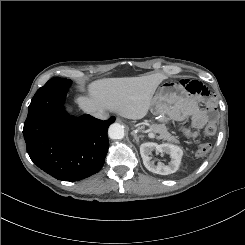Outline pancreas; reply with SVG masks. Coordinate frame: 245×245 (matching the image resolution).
<instances>
[{
    "mask_svg": "<svg viewBox=\"0 0 245 245\" xmlns=\"http://www.w3.org/2000/svg\"><path fill=\"white\" fill-rule=\"evenodd\" d=\"M152 133H158V139H163L167 142L179 144L177 137L171 135L164 124H154L151 128Z\"/></svg>",
    "mask_w": 245,
    "mask_h": 245,
    "instance_id": "pancreas-1",
    "label": "pancreas"
}]
</instances>
